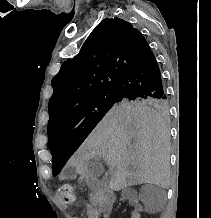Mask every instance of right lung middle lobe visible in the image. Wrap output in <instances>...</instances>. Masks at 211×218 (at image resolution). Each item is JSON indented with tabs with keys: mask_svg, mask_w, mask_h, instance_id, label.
<instances>
[{
	"mask_svg": "<svg viewBox=\"0 0 211 218\" xmlns=\"http://www.w3.org/2000/svg\"><path fill=\"white\" fill-rule=\"evenodd\" d=\"M113 105H147L161 112L168 110L167 98H123L113 91H108L69 110L49 126V146L72 143L78 147ZM64 164L65 162H53L52 173L54 176L59 174Z\"/></svg>",
	"mask_w": 211,
	"mask_h": 218,
	"instance_id": "obj_1",
	"label": "right lung middle lobe"
}]
</instances>
